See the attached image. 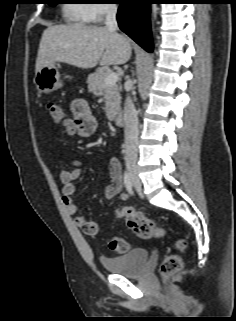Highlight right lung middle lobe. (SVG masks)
Returning <instances> with one entry per match:
<instances>
[{"label": "right lung middle lobe", "mask_w": 236, "mask_h": 321, "mask_svg": "<svg viewBox=\"0 0 236 321\" xmlns=\"http://www.w3.org/2000/svg\"><path fill=\"white\" fill-rule=\"evenodd\" d=\"M51 6H55L56 5V3H49Z\"/></svg>", "instance_id": "1"}]
</instances>
